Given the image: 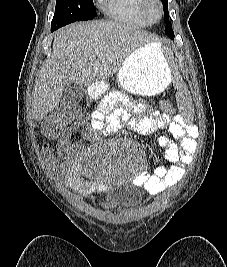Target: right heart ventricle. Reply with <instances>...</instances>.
Returning <instances> with one entry per match:
<instances>
[{
  "instance_id": "right-heart-ventricle-1",
  "label": "right heart ventricle",
  "mask_w": 227,
  "mask_h": 267,
  "mask_svg": "<svg viewBox=\"0 0 227 267\" xmlns=\"http://www.w3.org/2000/svg\"><path fill=\"white\" fill-rule=\"evenodd\" d=\"M141 0H100V7L105 15L114 21L147 26L149 22L140 9Z\"/></svg>"
}]
</instances>
